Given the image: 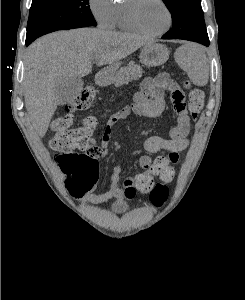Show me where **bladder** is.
<instances>
[{"label":"bladder","instance_id":"obj_1","mask_svg":"<svg viewBox=\"0 0 245 300\" xmlns=\"http://www.w3.org/2000/svg\"><path fill=\"white\" fill-rule=\"evenodd\" d=\"M129 208V204L126 201H118L112 204L111 210L115 213H122Z\"/></svg>","mask_w":245,"mask_h":300}]
</instances>
